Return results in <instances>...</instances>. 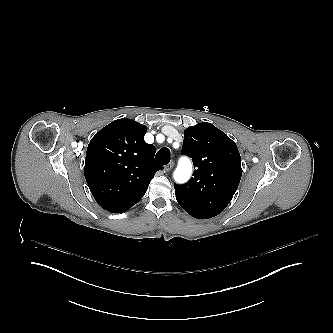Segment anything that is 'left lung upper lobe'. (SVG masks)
Returning a JSON list of instances; mask_svg holds the SVG:
<instances>
[{"label":"left lung upper lobe","mask_w":333,"mask_h":333,"mask_svg":"<svg viewBox=\"0 0 333 333\" xmlns=\"http://www.w3.org/2000/svg\"><path fill=\"white\" fill-rule=\"evenodd\" d=\"M182 154L192 158L193 178L175 185L178 202L220 213L236 192L241 176L237 145L210 123H199L184 132Z\"/></svg>","instance_id":"1"}]
</instances>
